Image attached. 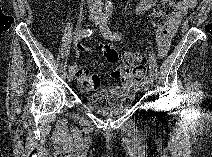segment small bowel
<instances>
[{
    "label": "small bowel",
    "instance_id": "c3829d8e",
    "mask_svg": "<svg viewBox=\"0 0 212 157\" xmlns=\"http://www.w3.org/2000/svg\"><path fill=\"white\" fill-rule=\"evenodd\" d=\"M152 5V2L149 0H145L141 2L137 8L138 12L148 10ZM195 6L194 0H181L177 3L176 8L173 14L168 18L166 24L163 28L164 35L158 41L159 43V53L161 56H164L167 53L169 40L179 25L181 19L186 14V12ZM75 46L78 52L80 53H88L91 51V47L85 42L77 39L75 42ZM142 78L132 80L128 83H123L125 88H138L140 85Z\"/></svg>",
    "mask_w": 212,
    "mask_h": 157
}]
</instances>
